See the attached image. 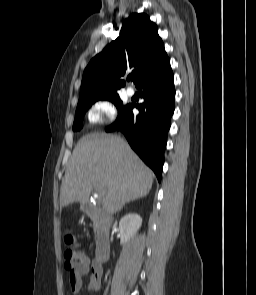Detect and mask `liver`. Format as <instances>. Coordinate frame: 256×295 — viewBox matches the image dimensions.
Returning a JSON list of instances; mask_svg holds the SVG:
<instances>
[{
  "mask_svg": "<svg viewBox=\"0 0 256 295\" xmlns=\"http://www.w3.org/2000/svg\"><path fill=\"white\" fill-rule=\"evenodd\" d=\"M153 179V172L122 138L90 133L73 150L61 186V205L86 203L96 187L104 196L103 209L114 214L126 203L146 196Z\"/></svg>",
  "mask_w": 256,
  "mask_h": 295,
  "instance_id": "obj_1",
  "label": "liver"
}]
</instances>
